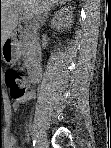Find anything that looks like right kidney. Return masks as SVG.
I'll use <instances>...</instances> for the list:
<instances>
[{
  "instance_id": "1",
  "label": "right kidney",
  "mask_w": 111,
  "mask_h": 148,
  "mask_svg": "<svg viewBox=\"0 0 111 148\" xmlns=\"http://www.w3.org/2000/svg\"><path fill=\"white\" fill-rule=\"evenodd\" d=\"M60 13H62V12H60ZM59 16H60V14H59ZM56 18L58 19L59 17L57 16Z\"/></svg>"
}]
</instances>
